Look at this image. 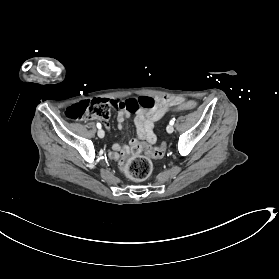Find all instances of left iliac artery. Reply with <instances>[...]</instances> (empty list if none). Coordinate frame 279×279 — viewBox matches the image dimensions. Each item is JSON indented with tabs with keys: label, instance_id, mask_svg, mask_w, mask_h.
Instances as JSON below:
<instances>
[{
	"label": "left iliac artery",
	"instance_id": "obj_1",
	"mask_svg": "<svg viewBox=\"0 0 279 279\" xmlns=\"http://www.w3.org/2000/svg\"><path fill=\"white\" fill-rule=\"evenodd\" d=\"M175 123V119L173 118L171 121H170V124L173 125Z\"/></svg>",
	"mask_w": 279,
	"mask_h": 279
}]
</instances>
